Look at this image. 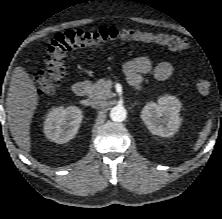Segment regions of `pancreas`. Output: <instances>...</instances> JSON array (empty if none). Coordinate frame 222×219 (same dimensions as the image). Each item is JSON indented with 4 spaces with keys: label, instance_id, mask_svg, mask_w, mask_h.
I'll use <instances>...</instances> for the list:
<instances>
[{
    "label": "pancreas",
    "instance_id": "pancreas-1",
    "mask_svg": "<svg viewBox=\"0 0 222 219\" xmlns=\"http://www.w3.org/2000/svg\"><path fill=\"white\" fill-rule=\"evenodd\" d=\"M88 94L91 98L107 99L111 96L110 87L106 86V81L100 79L96 83L88 82Z\"/></svg>",
    "mask_w": 222,
    "mask_h": 219
}]
</instances>
